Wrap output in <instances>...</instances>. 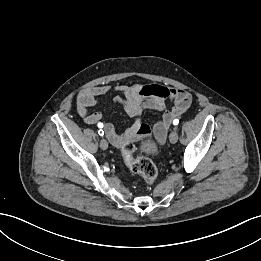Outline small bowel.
<instances>
[{"mask_svg":"<svg viewBox=\"0 0 261 261\" xmlns=\"http://www.w3.org/2000/svg\"><path fill=\"white\" fill-rule=\"evenodd\" d=\"M114 94L113 101L123 107L126 114L134 120L132 126L123 132H117L114 125L103 119L100 112H89L102 96ZM171 100L173 106L166 107V101ZM191 94L181 88L163 86L159 84H140L123 86L99 85L84 89L77 96L76 108L78 114L88 125L103 124V129L110 142L118 146L124 140L132 137H154L163 143L172 120L181 116L191 105ZM144 110L162 112V117L151 130L142 123Z\"/></svg>","mask_w":261,"mask_h":261,"instance_id":"obj_1","label":"small bowel"}]
</instances>
